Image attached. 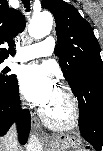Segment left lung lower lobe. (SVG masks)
<instances>
[{
	"instance_id": "obj_1",
	"label": "left lung lower lobe",
	"mask_w": 103,
	"mask_h": 151,
	"mask_svg": "<svg viewBox=\"0 0 103 151\" xmlns=\"http://www.w3.org/2000/svg\"><path fill=\"white\" fill-rule=\"evenodd\" d=\"M79 101V130L96 151L103 143V72L102 66H90L87 75L71 84Z\"/></svg>"
}]
</instances>
